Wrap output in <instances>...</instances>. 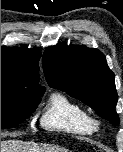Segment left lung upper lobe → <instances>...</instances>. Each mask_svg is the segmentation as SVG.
Instances as JSON below:
<instances>
[{"instance_id": "5c2ea615", "label": "left lung upper lobe", "mask_w": 123, "mask_h": 152, "mask_svg": "<svg viewBox=\"0 0 123 152\" xmlns=\"http://www.w3.org/2000/svg\"><path fill=\"white\" fill-rule=\"evenodd\" d=\"M42 66L50 87L67 92L99 116L119 124L115 76L102 52L86 46H52L45 50Z\"/></svg>"}]
</instances>
